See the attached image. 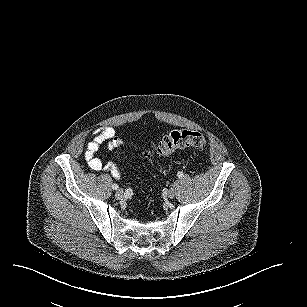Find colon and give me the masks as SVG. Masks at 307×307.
Returning a JSON list of instances; mask_svg holds the SVG:
<instances>
[{
	"instance_id": "colon-1",
	"label": "colon",
	"mask_w": 307,
	"mask_h": 307,
	"mask_svg": "<svg viewBox=\"0 0 307 307\" xmlns=\"http://www.w3.org/2000/svg\"><path fill=\"white\" fill-rule=\"evenodd\" d=\"M206 144V138L200 132L185 129L174 130L161 139L156 152L158 155L168 156L176 150L189 147L203 149Z\"/></svg>"
}]
</instances>
